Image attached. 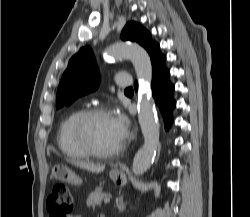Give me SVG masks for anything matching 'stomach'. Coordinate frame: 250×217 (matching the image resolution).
Masks as SVG:
<instances>
[{
  "label": "stomach",
  "instance_id": "1",
  "mask_svg": "<svg viewBox=\"0 0 250 217\" xmlns=\"http://www.w3.org/2000/svg\"><path fill=\"white\" fill-rule=\"evenodd\" d=\"M52 176L59 181L69 184L79 185L82 183V180L65 165H55L52 168ZM109 176L115 183H123L126 180L124 172L118 168L111 170Z\"/></svg>",
  "mask_w": 250,
  "mask_h": 217
}]
</instances>
